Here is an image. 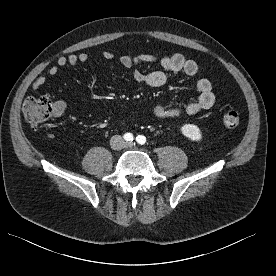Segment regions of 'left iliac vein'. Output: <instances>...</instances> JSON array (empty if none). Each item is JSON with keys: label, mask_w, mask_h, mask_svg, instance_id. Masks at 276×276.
Wrapping results in <instances>:
<instances>
[{"label": "left iliac vein", "mask_w": 276, "mask_h": 276, "mask_svg": "<svg viewBox=\"0 0 276 276\" xmlns=\"http://www.w3.org/2000/svg\"><path fill=\"white\" fill-rule=\"evenodd\" d=\"M126 146L131 147V146H133V143H127Z\"/></svg>", "instance_id": "4c4485c4"}]
</instances>
